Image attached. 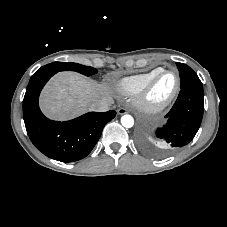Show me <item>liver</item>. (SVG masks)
Here are the masks:
<instances>
[{"label": "liver", "instance_id": "obj_1", "mask_svg": "<svg viewBox=\"0 0 227 227\" xmlns=\"http://www.w3.org/2000/svg\"><path fill=\"white\" fill-rule=\"evenodd\" d=\"M102 98L112 99L107 85L98 84L78 73L61 72L44 88L40 107L49 118L65 120L92 110V103Z\"/></svg>", "mask_w": 227, "mask_h": 227}]
</instances>
